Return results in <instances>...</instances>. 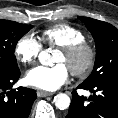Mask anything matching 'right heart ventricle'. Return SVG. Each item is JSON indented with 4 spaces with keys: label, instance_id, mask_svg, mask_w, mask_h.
<instances>
[{
    "label": "right heart ventricle",
    "instance_id": "1",
    "mask_svg": "<svg viewBox=\"0 0 118 118\" xmlns=\"http://www.w3.org/2000/svg\"><path fill=\"white\" fill-rule=\"evenodd\" d=\"M39 39L45 45L61 47L84 40V34L78 27L67 23H57L43 29Z\"/></svg>",
    "mask_w": 118,
    "mask_h": 118
}]
</instances>
